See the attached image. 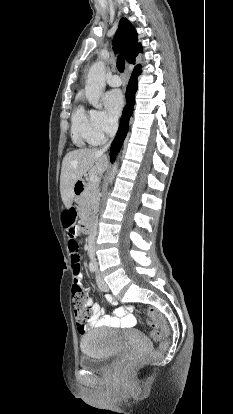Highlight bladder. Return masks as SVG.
<instances>
[{"mask_svg": "<svg viewBox=\"0 0 233 414\" xmlns=\"http://www.w3.org/2000/svg\"><path fill=\"white\" fill-rule=\"evenodd\" d=\"M140 344L149 347V342L138 331H131ZM115 332L105 329H92L81 340L82 355L79 359V367L90 372L107 370L120 353L116 344Z\"/></svg>", "mask_w": 233, "mask_h": 414, "instance_id": "bladder-1", "label": "bladder"}]
</instances>
